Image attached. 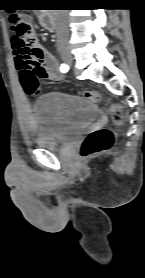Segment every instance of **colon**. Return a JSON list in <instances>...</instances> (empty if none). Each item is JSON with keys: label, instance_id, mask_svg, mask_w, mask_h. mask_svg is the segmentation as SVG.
I'll list each match as a JSON object with an SVG mask.
<instances>
[{"label": "colon", "instance_id": "colon-1", "mask_svg": "<svg viewBox=\"0 0 145 278\" xmlns=\"http://www.w3.org/2000/svg\"><path fill=\"white\" fill-rule=\"evenodd\" d=\"M10 29L21 39V44L24 47H28L32 31L28 24L23 21L18 15L11 14L8 18ZM39 89L38 77L33 76L30 80V85L26 87V92L30 95L36 93ZM84 96L94 102H98L101 99V95L96 92H85ZM110 113L116 123H122L124 115L120 107L112 105L109 108ZM114 141V133L108 128H101L91 131L83 139L80 155L82 158H91L98 153L108 150Z\"/></svg>", "mask_w": 145, "mask_h": 278}]
</instances>
